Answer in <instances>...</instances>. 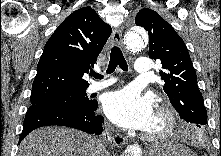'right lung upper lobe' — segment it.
<instances>
[{
  "mask_svg": "<svg viewBox=\"0 0 221 156\" xmlns=\"http://www.w3.org/2000/svg\"><path fill=\"white\" fill-rule=\"evenodd\" d=\"M110 34L111 27L92 8L70 14L44 47L31 99L87 89L82 77L96 63Z\"/></svg>",
  "mask_w": 221,
  "mask_h": 156,
  "instance_id": "obj_1",
  "label": "right lung upper lobe"
}]
</instances>
